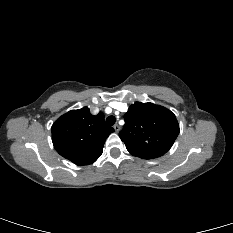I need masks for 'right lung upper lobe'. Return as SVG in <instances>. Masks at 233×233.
Returning a JSON list of instances; mask_svg holds the SVG:
<instances>
[{"label": "right lung upper lobe", "instance_id": "obj_1", "mask_svg": "<svg viewBox=\"0 0 233 233\" xmlns=\"http://www.w3.org/2000/svg\"><path fill=\"white\" fill-rule=\"evenodd\" d=\"M51 132L56 151L82 166L92 164L101 156L105 141L114 129L106 125L103 113L94 116L88 107H83L58 118Z\"/></svg>", "mask_w": 233, "mask_h": 233}]
</instances>
